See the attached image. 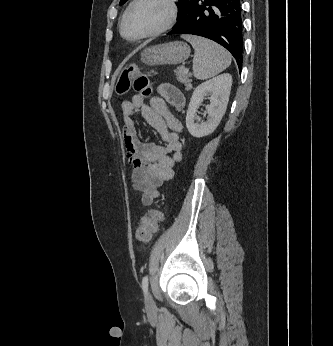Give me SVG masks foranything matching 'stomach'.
Returning a JSON list of instances; mask_svg holds the SVG:
<instances>
[{
    "label": "stomach",
    "mask_w": 333,
    "mask_h": 346,
    "mask_svg": "<svg viewBox=\"0 0 333 346\" xmlns=\"http://www.w3.org/2000/svg\"><path fill=\"white\" fill-rule=\"evenodd\" d=\"M190 56L188 44L180 41L146 48L141 54V60L147 65H176L184 62Z\"/></svg>",
    "instance_id": "obj_1"
}]
</instances>
